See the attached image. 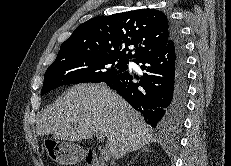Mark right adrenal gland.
I'll return each mask as SVG.
<instances>
[{
    "label": "right adrenal gland",
    "mask_w": 231,
    "mask_h": 166,
    "mask_svg": "<svg viewBox=\"0 0 231 166\" xmlns=\"http://www.w3.org/2000/svg\"><path fill=\"white\" fill-rule=\"evenodd\" d=\"M141 152H151V149L149 148V146H144V147H142V148L138 151L136 157H135L133 160L137 159V157L139 156V154H140ZM128 166H129V164H128Z\"/></svg>",
    "instance_id": "obj_1"
}]
</instances>
